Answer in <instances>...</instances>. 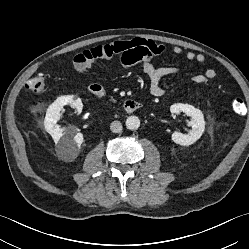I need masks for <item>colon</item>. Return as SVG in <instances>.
Here are the masks:
<instances>
[{"instance_id":"5ec220e1","label":"colon","mask_w":249,"mask_h":249,"mask_svg":"<svg viewBox=\"0 0 249 249\" xmlns=\"http://www.w3.org/2000/svg\"><path fill=\"white\" fill-rule=\"evenodd\" d=\"M27 89L36 94L43 93L46 89V76L43 73H38L30 78L26 84ZM232 110L234 113L241 115L244 113L246 107L245 103L240 98H235L232 101Z\"/></svg>"}]
</instances>
